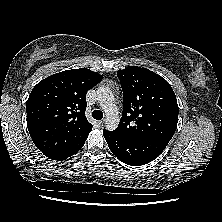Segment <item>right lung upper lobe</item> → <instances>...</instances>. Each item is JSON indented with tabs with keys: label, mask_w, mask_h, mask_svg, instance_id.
Instances as JSON below:
<instances>
[{
	"label": "right lung upper lobe",
	"mask_w": 222,
	"mask_h": 222,
	"mask_svg": "<svg viewBox=\"0 0 222 222\" xmlns=\"http://www.w3.org/2000/svg\"><path fill=\"white\" fill-rule=\"evenodd\" d=\"M103 77L87 68L72 69L40 81L26 103L27 127L46 156L84 144L92 129L85 116L86 93Z\"/></svg>",
	"instance_id": "cb5924a9"
}]
</instances>
